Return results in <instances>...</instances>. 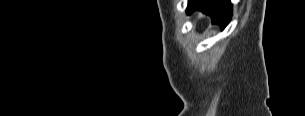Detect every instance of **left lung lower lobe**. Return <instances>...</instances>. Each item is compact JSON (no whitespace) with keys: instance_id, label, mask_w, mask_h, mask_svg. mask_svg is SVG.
I'll return each instance as SVG.
<instances>
[{"instance_id":"0a47b994","label":"left lung lower lobe","mask_w":305,"mask_h":116,"mask_svg":"<svg viewBox=\"0 0 305 116\" xmlns=\"http://www.w3.org/2000/svg\"><path fill=\"white\" fill-rule=\"evenodd\" d=\"M201 10L209 14L213 23H218L222 29L226 27L232 16L230 0H189L188 13Z\"/></svg>"}]
</instances>
